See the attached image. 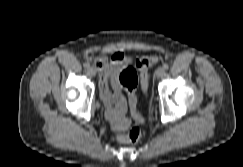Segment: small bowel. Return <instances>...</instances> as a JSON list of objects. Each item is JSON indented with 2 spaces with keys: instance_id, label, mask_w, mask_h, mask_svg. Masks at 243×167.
Returning a JSON list of instances; mask_svg holds the SVG:
<instances>
[{
  "instance_id": "c3829d8e",
  "label": "small bowel",
  "mask_w": 243,
  "mask_h": 167,
  "mask_svg": "<svg viewBox=\"0 0 243 167\" xmlns=\"http://www.w3.org/2000/svg\"><path fill=\"white\" fill-rule=\"evenodd\" d=\"M130 61V57L121 51L94 60L99 71L100 96L105 105V115L114 128L125 118L127 111L126 100L121 94L119 74ZM130 110L134 120L138 121L136 105H130Z\"/></svg>"
}]
</instances>
